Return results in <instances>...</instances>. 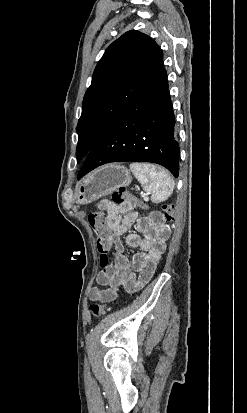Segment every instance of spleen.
<instances>
[{
    "instance_id": "obj_1",
    "label": "spleen",
    "mask_w": 247,
    "mask_h": 413,
    "mask_svg": "<svg viewBox=\"0 0 247 413\" xmlns=\"http://www.w3.org/2000/svg\"><path fill=\"white\" fill-rule=\"evenodd\" d=\"M130 168L144 190L150 192L152 202H163L172 194L175 182L166 168H146L145 162H132Z\"/></svg>"
}]
</instances>
